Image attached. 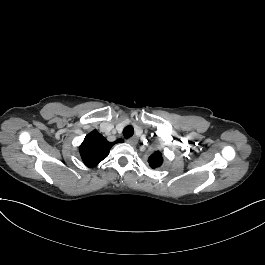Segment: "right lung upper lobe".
I'll return each mask as SVG.
<instances>
[{"label":"right lung upper lobe","mask_w":265,"mask_h":265,"mask_svg":"<svg viewBox=\"0 0 265 265\" xmlns=\"http://www.w3.org/2000/svg\"><path fill=\"white\" fill-rule=\"evenodd\" d=\"M123 140L118 139L115 142H108L96 130L90 132L80 145L79 151L84 164L88 167H94L103 159H105L110 148Z\"/></svg>","instance_id":"cb5924a9"}]
</instances>
